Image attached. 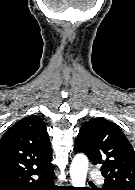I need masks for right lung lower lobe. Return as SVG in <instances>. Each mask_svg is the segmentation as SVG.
<instances>
[{"mask_svg":"<svg viewBox=\"0 0 135 190\" xmlns=\"http://www.w3.org/2000/svg\"><path fill=\"white\" fill-rule=\"evenodd\" d=\"M38 177L35 180L33 177ZM53 165L43 170L11 171L0 174V190H59L53 184Z\"/></svg>","mask_w":135,"mask_h":190,"instance_id":"right-lung-lower-lobe-1","label":"right lung lower lobe"}]
</instances>
